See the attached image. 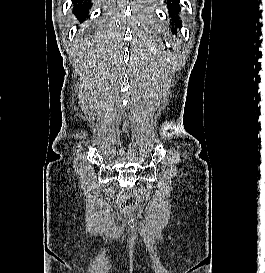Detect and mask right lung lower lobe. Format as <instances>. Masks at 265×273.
Returning <instances> with one entry per match:
<instances>
[{
	"mask_svg": "<svg viewBox=\"0 0 265 273\" xmlns=\"http://www.w3.org/2000/svg\"><path fill=\"white\" fill-rule=\"evenodd\" d=\"M73 1V14L76 18L83 22L89 16V9L91 7V1L89 0H72Z\"/></svg>",
	"mask_w": 265,
	"mask_h": 273,
	"instance_id": "98d812e1",
	"label": "right lung lower lobe"
}]
</instances>
